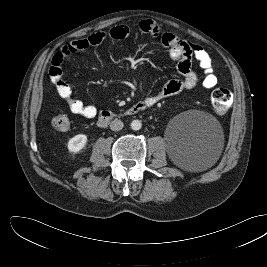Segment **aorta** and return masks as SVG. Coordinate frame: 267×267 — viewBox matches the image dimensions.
<instances>
[{"instance_id": "obj_1", "label": "aorta", "mask_w": 267, "mask_h": 267, "mask_svg": "<svg viewBox=\"0 0 267 267\" xmlns=\"http://www.w3.org/2000/svg\"><path fill=\"white\" fill-rule=\"evenodd\" d=\"M142 127V123L140 120H133L131 122V128L135 131L140 130Z\"/></svg>"}]
</instances>
